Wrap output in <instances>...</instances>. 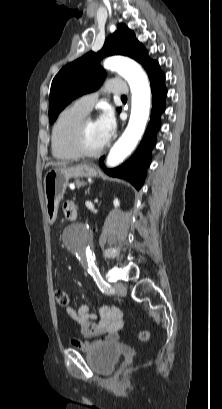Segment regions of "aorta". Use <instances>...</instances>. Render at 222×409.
<instances>
[{
  "label": "aorta",
  "mask_w": 222,
  "mask_h": 409,
  "mask_svg": "<svg viewBox=\"0 0 222 409\" xmlns=\"http://www.w3.org/2000/svg\"><path fill=\"white\" fill-rule=\"evenodd\" d=\"M104 67L120 74L128 82L132 93L128 125L107 156L106 165L113 168L133 152L145 131L151 107V90L145 72L130 59L111 57L105 60ZM67 236L71 238L67 247L76 256L85 259L89 268L94 270V254L90 248L88 227L80 223L75 224L67 231Z\"/></svg>",
  "instance_id": "obj_1"
}]
</instances>
